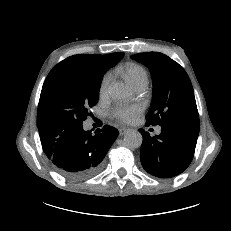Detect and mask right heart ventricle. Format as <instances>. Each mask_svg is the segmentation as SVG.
Masks as SVG:
<instances>
[{
	"instance_id": "right-heart-ventricle-1",
	"label": "right heart ventricle",
	"mask_w": 231,
	"mask_h": 231,
	"mask_svg": "<svg viewBox=\"0 0 231 231\" xmlns=\"http://www.w3.org/2000/svg\"><path fill=\"white\" fill-rule=\"evenodd\" d=\"M116 71L121 74L124 80L134 89L145 88L148 83V74L139 64L127 62L117 67Z\"/></svg>"
}]
</instances>
